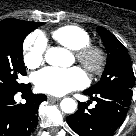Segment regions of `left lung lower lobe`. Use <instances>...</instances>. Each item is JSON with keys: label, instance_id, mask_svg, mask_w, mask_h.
Segmentation results:
<instances>
[{"label": "left lung lower lobe", "instance_id": "obj_1", "mask_svg": "<svg viewBox=\"0 0 136 136\" xmlns=\"http://www.w3.org/2000/svg\"><path fill=\"white\" fill-rule=\"evenodd\" d=\"M84 94L97 104L88 109L86 103H79L78 110L67 117L69 126L81 136H112L124 121L132 89L86 90Z\"/></svg>", "mask_w": 136, "mask_h": 136}]
</instances>
